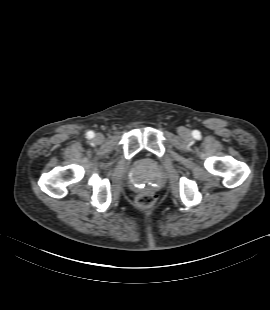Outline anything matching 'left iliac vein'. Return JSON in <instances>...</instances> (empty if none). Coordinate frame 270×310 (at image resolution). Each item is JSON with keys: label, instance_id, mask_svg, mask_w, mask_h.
<instances>
[{"label": "left iliac vein", "instance_id": "left-iliac-vein-1", "mask_svg": "<svg viewBox=\"0 0 270 310\" xmlns=\"http://www.w3.org/2000/svg\"><path fill=\"white\" fill-rule=\"evenodd\" d=\"M179 135L185 139V140H190L191 139V132L189 129L187 128H181L179 130Z\"/></svg>", "mask_w": 270, "mask_h": 310}]
</instances>
